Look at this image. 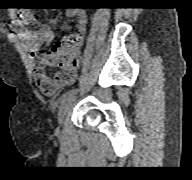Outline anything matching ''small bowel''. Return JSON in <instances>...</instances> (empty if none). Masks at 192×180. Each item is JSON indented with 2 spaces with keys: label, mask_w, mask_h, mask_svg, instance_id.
I'll list each match as a JSON object with an SVG mask.
<instances>
[{
  "label": "small bowel",
  "mask_w": 192,
  "mask_h": 180,
  "mask_svg": "<svg viewBox=\"0 0 192 180\" xmlns=\"http://www.w3.org/2000/svg\"><path fill=\"white\" fill-rule=\"evenodd\" d=\"M67 15L76 19L75 31L57 41L49 51H40L44 44H50L55 35L49 27L30 31L24 26L19 36L25 41L36 62L33 68L34 77L41 91L47 95H57L65 87L73 84L81 63L80 49L87 29V14L82 9H70ZM17 17L22 25H35L36 17L32 11L21 9ZM51 22H54L52 20ZM48 67H59L53 77L48 75Z\"/></svg>",
  "instance_id": "small-bowel-1"
}]
</instances>
